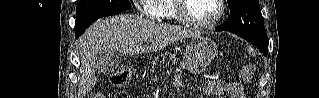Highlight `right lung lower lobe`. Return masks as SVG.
I'll return each instance as SVG.
<instances>
[{"label":"right lung lower lobe","instance_id":"right-lung-lower-lobe-1","mask_svg":"<svg viewBox=\"0 0 319 98\" xmlns=\"http://www.w3.org/2000/svg\"><path fill=\"white\" fill-rule=\"evenodd\" d=\"M121 12H104V13H98L93 15H88L82 18L76 19L75 22V37L79 38V36L86 30L88 26H90L94 21L101 17L105 16H112L119 14Z\"/></svg>","mask_w":319,"mask_h":98}]
</instances>
